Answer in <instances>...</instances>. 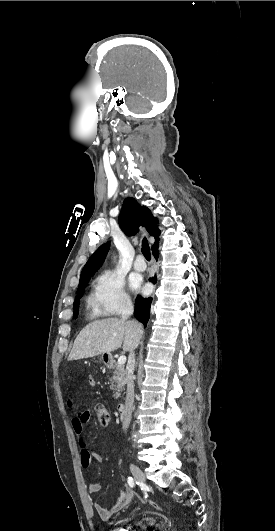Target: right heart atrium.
Instances as JSON below:
<instances>
[{"label": "right heart atrium", "instance_id": "d8ad5b80", "mask_svg": "<svg viewBox=\"0 0 275 531\" xmlns=\"http://www.w3.org/2000/svg\"><path fill=\"white\" fill-rule=\"evenodd\" d=\"M89 304L98 316H113L124 312L131 305L124 278L112 271L98 275L93 283Z\"/></svg>", "mask_w": 275, "mask_h": 531}]
</instances>
